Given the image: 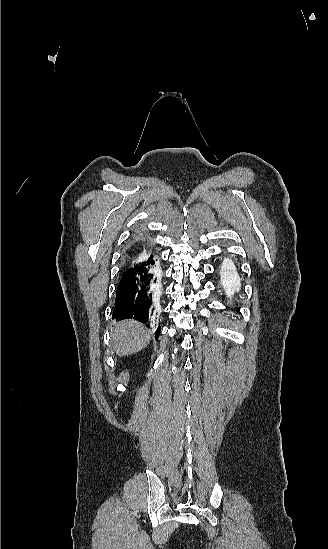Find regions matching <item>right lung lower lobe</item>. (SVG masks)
<instances>
[{"label":"right lung lower lobe","instance_id":"98d812e1","mask_svg":"<svg viewBox=\"0 0 328 549\" xmlns=\"http://www.w3.org/2000/svg\"><path fill=\"white\" fill-rule=\"evenodd\" d=\"M133 245L134 243L126 250L125 259L127 254L133 251ZM160 279V266L155 256L139 260L131 271L127 270L125 264L117 287L112 318L118 320L133 318L145 323L148 327L150 324H155V309L151 308L152 297L160 287ZM160 332V325L156 326V339Z\"/></svg>","mask_w":328,"mask_h":549}]
</instances>
